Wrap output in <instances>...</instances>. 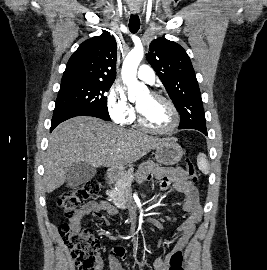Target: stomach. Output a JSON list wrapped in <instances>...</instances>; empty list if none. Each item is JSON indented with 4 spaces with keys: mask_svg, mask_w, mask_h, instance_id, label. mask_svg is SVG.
Wrapping results in <instances>:
<instances>
[{
    "mask_svg": "<svg viewBox=\"0 0 267 270\" xmlns=\"http://www.w3.org/2000/svg\"><path fill=\"white\" fill-rule=\"evenodd\" d=\"M182 156L183 149L175 139H168L155 151V159L161 165H174L181 160ZM110 173L118 178L125 173V169H112Z\"/></svg>",
    "mask_w": 267,
    "mask_h": 270,
    "instance_id": "stomach-1",
    "label": "stomach"
}]
</instances>
